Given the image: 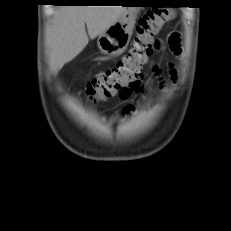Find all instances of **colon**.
<instances>
[{"label": "colon", "instance_id": "obj_1", "mask_svg": "<svg viewBox=\"0 0 231 231\" xmlns=\"http://www.w3.org/2000/svg\"><path fill=\"white\" fill-rule=\"evenodd\" d=\"M173 12L164 8L148 10L136 26V36L130 50L115 66L97 74L86 86L85 92L92 101H99L118 94L127 84L141 80L143 66L154 50L159 48L155 36Z\"/></svg>", "mask_w": 231, "mask_h": 231}]
</instances>
